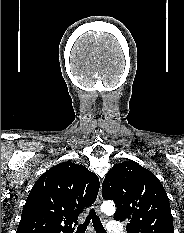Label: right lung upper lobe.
Listing matches in <instances>:
<instances>
[{
    "mask_svg": "<svg viewBox=\"0 0 184 233\" xmlns=\"http://www.w3.org/2000/svg\"><path fill=\"white\" fill-rule=\"evenodd\" d=\"M99 187L98 177L83 165L67 161L51 167L31 189L17 233H72Z\"/></svg>",
    "mask_w": 184,
    "mask_h": 233,
    "instance_id": "obj_1",
    "label": "right lung upper lobe"
}]
</instances>
